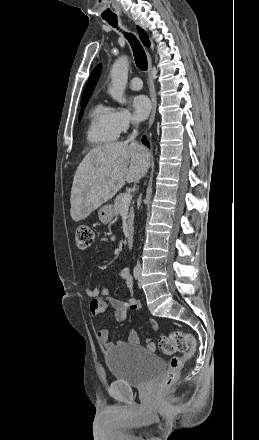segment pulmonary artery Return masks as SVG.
<instances>
[{
  "instance_id": "obj_1",
  "label": "pulmonary artery",
  "mask_w": 259,
  "mask_h": 440,
  "mask_svg": "<svg viewBox=\"0 0 259 440\" xmlns=\"http://www.w3.org/2000/svg\"><path fill=\"white\" fill-rule=\"evenodd\" d=\"M142 86V80L139 77H133L129 82V87L132 90H140Z\"/></svg>"
}]
</instances>
